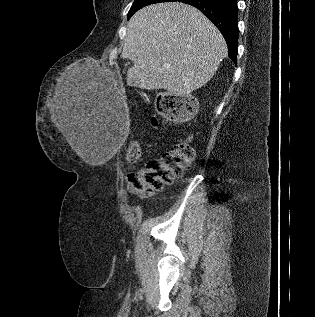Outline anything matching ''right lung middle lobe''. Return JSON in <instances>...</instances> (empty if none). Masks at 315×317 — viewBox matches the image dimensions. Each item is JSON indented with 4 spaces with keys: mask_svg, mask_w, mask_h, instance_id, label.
I'll list each match as a JSON object with an SVG mask.
<instances>
[{
    "mask_svg": "<svg viewBox=\"0 0 315 317\" xmlns=\"http://www.w3.org/2000/svg\"><path fill=\"white\" fill-rule=\"evenodd\" d=\"M177 0H135L132 7L128 12V19L140 8L145 7L150 4L160 3V2H173Z\"/></svg>",
    "mask_w": 315,
    "mask_h": 317,
    "instance_id": "1",
    "label": "right lung middle lobe"
}]
</instances>
